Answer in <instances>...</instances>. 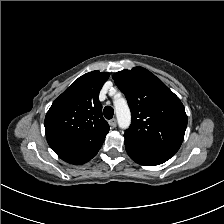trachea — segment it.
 Masks as SVG:
<instances>
[{"mask_svg":"<svg viewBox=\"0 0 224 224\" xmlns=\"http://www.w3.org/2000/svg\"><path fill=\"white\" fill-rule=\"evenodd\" d=\"M106 119H111L114 115V110L111 106H106L103 110Z\"/></svg>","mask_w":224,"mask_h":224,"instance_id":"trachea-1","label":"trachea"}]
</instances>
